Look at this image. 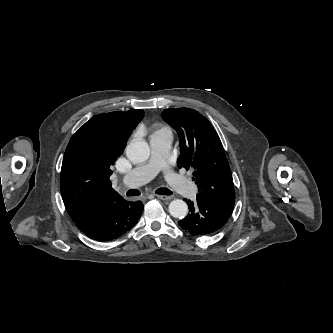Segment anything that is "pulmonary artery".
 I'll return each instance as SVG.
<instances>
[{
    "mask_svg": "<svg viewBox=\"0 0 333 333\" xmlns=\"http://www.w3.org/2000/svg\"><path fill=\"white\" fill-rule=\"evenodd\" d=\"M172 139V134L168 131L153 133L149 137L151 149L149 160L136 166L126 174L122 179V183L129 188H135L147 183L157 173L165 170V179L174 190L185 195L191 194L195 190V186L184 177L167 168Z\"/></svg>",
    "mask_w": 333,
    "mask_h": 333,
    "instance_id": "obj_1",
    "label": "pulmonary artery"
}]
</instances>
